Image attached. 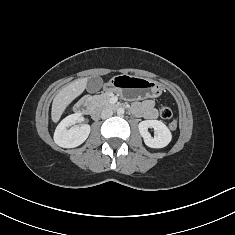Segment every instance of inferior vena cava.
Segmentation results:
<instances>
[{
    "label": "inferior vena cava",
    "instance_id": "obj_1",
    "mask_svg": "<svg viewBox=\"0 0 235 235\" xmlns=\"http://www.w3.org/2000/svg\"><path fill=\"white\" fill-rule=\"evenodd\" d=\"M113 115V111L110 108H106L101 112V118L106 119Z\"/></svg>",
    "mask_w": 235,
    "mask_h": 235
}]
</instances>
